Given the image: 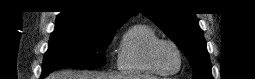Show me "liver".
Here are the masks:
<instances>
[{
    "mask_svg": "<svg viewBox=\"0 0 255 79\" xmlns=\"http://www.w3.org/2000/svg\"><path fill=\"white\" fill-rule=\"evenodd\" d=\"M48 79H155L152 76H123L121 74H107L96 71L61 70L52 73Z\"/></svg>",
    "mask_w": 255,
    "mask_h": 79,
    "instance_id": "1",
    "label": "liver"
}]
</instances>
